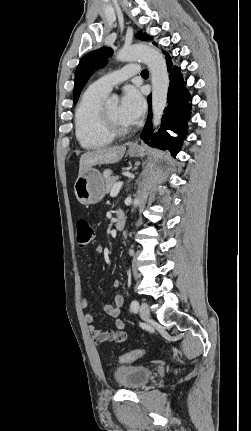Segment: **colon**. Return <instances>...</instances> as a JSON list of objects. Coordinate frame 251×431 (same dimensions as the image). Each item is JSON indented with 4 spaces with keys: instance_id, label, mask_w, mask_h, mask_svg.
Returning <instances> with one entry per match:
<instances>
[{
    "instance_id": "5ec220e1",
    "label": "colon",
    "mask_w": 251,
    "mask_h": 431,
    "mask_svg": "<svg viewBox=\"0 0 251 431\" xmlns=\"http://www.w3.org/2000/svg\"><path fill=\"white\" fill-rule=\"evenodd\" d=\"M95 238L94 229L89 220L81 218L76 222V241L81 248L87 247L93 243ZM144 355V349L137 348L131 352L123 354L117 358L119 363H130Z\"/></svg>"
}]
</instances>
